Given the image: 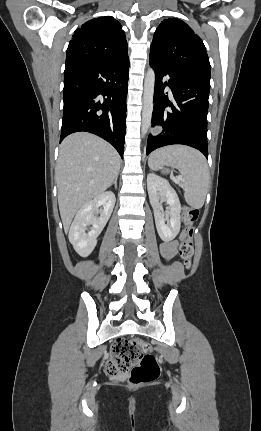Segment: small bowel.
Wrapping results in <instances>:
<instances>
[{
  "label": "small bowel",
  "mask_w": 261,
  "mask_h": 431,
  "mask_svg": "<svg viewBox=\"0 0 261 431\" xmlns=\"http://www.w3.org/2000/svg\"><path fill=\"white\" fill-rule=\"evenodd\" d=\"M182 234H183V232L180 234V239H182ZM177 247H178V241H176V240L162 243L160 246V251H161L162 256L167 261H170L176 255Z\"/></svg>",
  "instance_id": "c3829d8e"
}]
</instances>
